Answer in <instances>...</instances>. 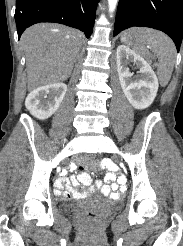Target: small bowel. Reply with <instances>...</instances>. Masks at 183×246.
Instances as JSON below:
<instances>
[{
	"mask_svg": "<svg viewBox=\"0 0 183 246\" xmlns=\"http://www.w3.org/2000/svg\"><path fill=\"white\" fill-rule=\"evenodd\" d=\"M96 166L115 170L116 174L114 172H108L106 174L105 183L101 180L93 182L90 176L85 172L67 178L66 174H72L73 170H77V165H66V169H60V174L57 175L59 180L55 184V193L58 195L62 194L67 198H80L99 190L103 195L111 199H117L119 193H128V188L125 187H130L131 183L128 182L127 174H119L120 165H115V160L102 159L96 163ZM80 169L82 170L83 166H80ZM116 179L117 182H113ZM80 184L84 187L78 188Z\"/></svg>",
	"mask_w": 183,
	"mask_h": 246,
	"instance_id": "1",
	"label": "small bowel"
}]
</instances>
